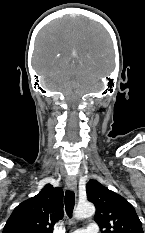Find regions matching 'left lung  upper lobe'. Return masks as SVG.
I'll return each instance as SVG.
<instances>
[{
    "label": "left lung upper lobe",
    "instance_id": "obj_1",
    "mask_svg": "<svg viewBox=\"0 0 145 233\" xmlns=\"http://www.w3.org/2000/svg\"><path fill=\"white\" fill-rule=\"evenodd\" d=\"M86 192L96 207L94 220L102 233H143L134 207L125 198L96 180L87 183Z\"/></svg>",
    "mask_w": 145,
    "mask_h": 233
}]
</instances>
